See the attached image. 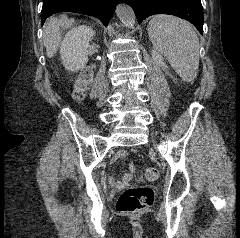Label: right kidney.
<instances>
[{
  "label": "right kidney",
  "instance_id": "1",
  "mask_svg": "<svg viewBox=\"0 0 240 238\" xmlns=\"http://www.w3.org/2000/svg\"><path fill=\"white\" fill-rule=\"evenodd\" d=\"M94 35L92 28L87 26L74 27L67 32L60 47L61 60L65 69L77 72L86 66L87 49Z\"/></svg>",
  "mask_w": 240,
  "mask_h": 238
}]
</instances>
